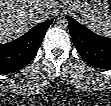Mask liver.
Here are the masks:
<instances>
[{"mask_svg": "<svg viewBox=\"0 0 111 106\" xmlns=\"http://www.w3.org/2000/svg\"><path fill=\"white\" fill-rule=\"evenodd\" d=\"M54 0H1L0 1V41H12L31 27L46 20Z\"/></svg>", "mask_w": 111, "mask_h": 106, "instance_id": "1", "label": "liver"}]
</instances>
